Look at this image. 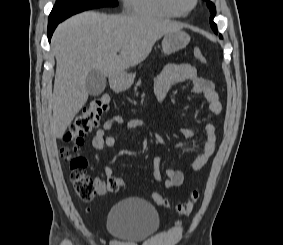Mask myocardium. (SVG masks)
Here are the masks:
<instances>
[{
	"mask_svg": "<svg viewBox=\"0 0 283 245\" xmlns=\"http://www.w3.org/2000/svg\"><path fill=\"white\" fill-rule=\"evenodd\" d=\"M177 7L180 12L184 15L189 14L197 5L198 0H176Z\"/></svg>",
	"mask_w": 283,
	"mask_h": 245,
	"instance_id": "1",
	"label": "myocardium"
}]
</instances>
